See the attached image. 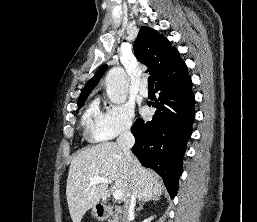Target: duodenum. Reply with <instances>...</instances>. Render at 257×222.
Listing matches in <instances>:
<instances>
[{
	"label": "duodenum",
	"instance_id": "410a0bca",
	"mask_svg": "<svg viewBox=\"0 0 257 222\" xmlns=\"http://www.w3.org/2000/svg\"><path fill=\"white\" fill-rule=\"evenodd\" d=\"M122 209L120 206H111L106 204H99L96 207V215L98 218L104 219L111 214L119 215Z\"/></svg>",
	"mask_w": 257,
	"mask_h": 222
}]
</instances>
